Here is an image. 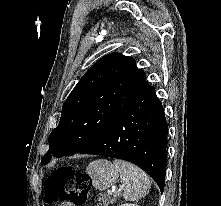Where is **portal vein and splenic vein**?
Here are the masks:
<instances>
[{
  "mask_svg": "<svg viewBox=\"0 0 221 206\" xmlns=\"http://www.w3.org/2000/svg\"><path fill=\"white\" fill-rule=\"evenodd\" d=\"M115 192V189H113V190H108V194H112V193H114Z\"/></svg>",
  "mask_w": 221,
  "mask_h": 206,
  "instance_id": "portal-vein-and-splenic-vein-1",
  "label": "portal vein and splenic vein"
}]
</instances>
